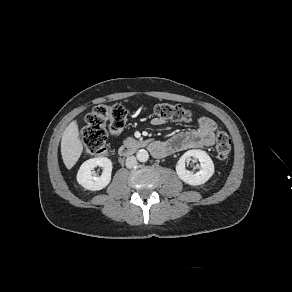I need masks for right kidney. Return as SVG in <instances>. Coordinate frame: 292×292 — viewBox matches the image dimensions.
<instances>
[{
	"label": "right kidney",
	"mask_w": 292,
	"mask_h": 292,
	"mask_svg": "<svg viewBox=\"0 0 292 292\" xmlns=\"http://www.w3.org/2000/svg\"><path fill=\"white\" fill-rule=\"evenodd\" d=\"M101 166L103 173L100 177L93 176L92 169ZM112 162L106 157H97L85 161L77 173V182L85 189L97 191L105 188L111 181Z\"/></svg>",
	"instance_id": "ca27d5eb"
}]
</instances>
